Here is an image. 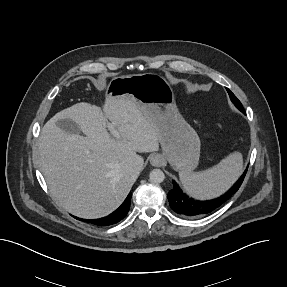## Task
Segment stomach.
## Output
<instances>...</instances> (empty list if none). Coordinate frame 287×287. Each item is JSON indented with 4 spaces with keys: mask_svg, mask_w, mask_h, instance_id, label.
Segmentation results:
<instances>
[{
    "mask_svg": "<svg viewBox=\"0 0 287 287\" xmlns=\"http://www.w3.org/2000/svg\"><path fill=\"white\" fill-rule=\"evenodd\" d=\"M106 97L131 99L158 131L163 157L179 172H192L200 157V139L179 113L170 84L155 73L111 79Z\"/></svg>",
    "mask_w": 287,
    "mask_h": 287,
    "instance_id": "obj_1",
    "label": "stomach"
}]
</instances>
